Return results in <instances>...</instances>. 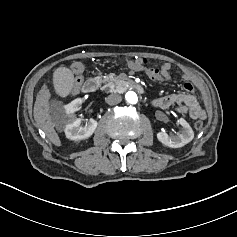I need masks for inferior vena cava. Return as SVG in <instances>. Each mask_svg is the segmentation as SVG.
<instances>
[{
	"label": "inferior vena cava",
	"mask_w": 237,
	"mask_h": 237,
	"mask_svg": "<svg viewBox=\"0 0 237 237\" xmlns=\"http://www.w3.org/2000/svg\"><path fill=\"white\" fill-rule=\"evenodd\" d=\"M108 105H116L122 101V98L119 94H110L105 99Z\"/></svg>",
	"instance_id": "obj_1"
}]
</instances>
